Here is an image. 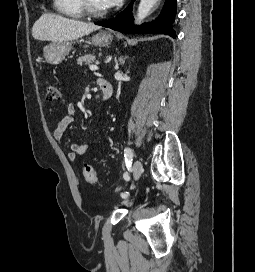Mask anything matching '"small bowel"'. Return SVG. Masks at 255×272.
<instances>
[{"instance_id": "obj_1", "label": "small bowel", "mask_w": 255, "mask_h": 272, "mask_svg": "<svg viewBox=\"0 0 255 272\" xmlns=\"http://www.w3.org/2000/svg\"><path fill=\"white\" fill-rule=\"evenodd\" d=\"M76 117V107L73 104L67 106L65 116L58 122L56 128L53 130V138L61 142L62 136L68 126H70ZM94 144L88 143H72L69 145L67 157L70 161H75L79 156L85 154L89 148Z\"/></svg>"}]
</instances>
